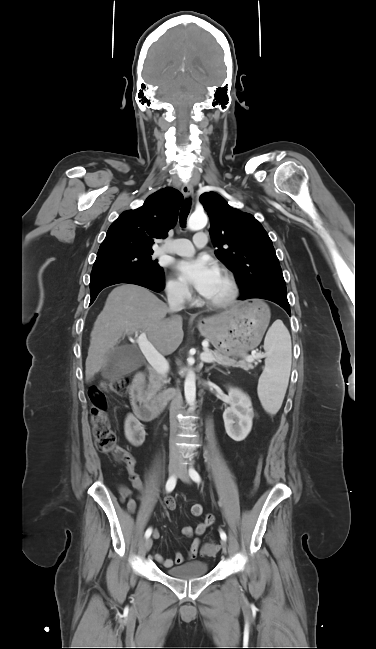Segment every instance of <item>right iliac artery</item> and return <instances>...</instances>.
I'll return each instance as SVG.
<instances>
[{
    "mask_svg": "<svg viewBox=\"0 0 376 649\" xmlns=\"http://www.w3.org/2000/svg\"><path fill=\"white\" fill-rule=\"evenodd\" d=\"M176 481H177V478H176L175 475H172V476L167 480V483H166V491H167V492H171V491H173V489L175 488V485H176ZM151 533H152V528H148V529L146 530V532H145V537H146V538H149L150 535H151Z\"/></svg>",
    "mask_w": 376,
    "mask_h": 649,
    "instance_id": "82829eb1",
    "label": "right iliac artery"
}]
</instances>
